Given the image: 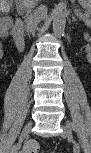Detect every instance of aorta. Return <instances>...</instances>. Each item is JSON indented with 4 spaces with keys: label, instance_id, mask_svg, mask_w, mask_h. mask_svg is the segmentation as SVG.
Returning <instances> with one entry per match:
<instances>
[{
    "label": "aorta",
    "instance_id": "1",
    "mask_svg": "<svg viewBox=\"0 0 91 153\" xmlns=\"http://www.w3.org/2000/svg\"><path fill=\"white\" fill-rule=\"evenodd\" d=\"M53 33L56 37H61L64 34L66 25V14L62 3L58 4L53 13Z\"/></svg>",
    "mask_w": 91,
    "mask_h": 153
}]
</instances>
